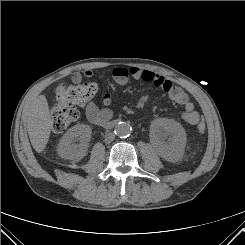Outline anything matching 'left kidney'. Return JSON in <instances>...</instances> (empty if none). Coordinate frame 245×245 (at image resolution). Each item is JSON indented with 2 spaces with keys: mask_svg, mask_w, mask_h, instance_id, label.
<instances>
[{
  "mask_svg": "<svg viewBox=\"0 0 245 245\" xmlns=\"http://www.w3.org/2000/svg\"><path fill=\"white\" fill-rule=\"evenodd\" d=\"M151 134L156 138L162 157L171 161L181 157L186 145V133L180 123L169 119H157L151 124ZM167 137L169 138L165 141Z\"/></svg>",
  "mask_w": 245,
  "mask_h": 245,
  "instance_id": "left-kidney-1",
  "label": "left kidney"
}]
</instances>
